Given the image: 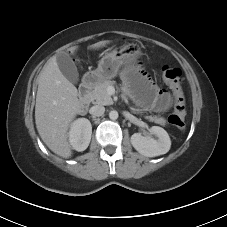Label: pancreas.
<instances>
[{"label": "pancreas", "instance_id": "1", "mask_svg": "<svg viewBox=\"0 0 227 227\" xmlns=\"http://www.w3.org/2000/svg\"><path fill=\"white\" fill-rule=\"evenodd\" d=\"M112 85H114V81H111V80H104L98 83L89 94V97L92 103L100 104V105H112L113 100L107 92V88ZM132 111L135 112L136 110L132 108ZM149 119L163 126L166 124V120L163 117L155 116V117H149Z\"/></svg>", "mask_w": 227, "mask_h": 227}]
</instances>
